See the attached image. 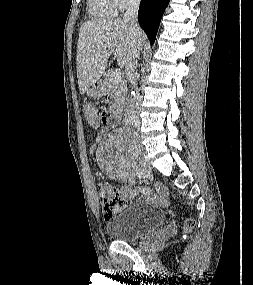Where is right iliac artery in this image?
I'll list each match as a JSON object with an SVG mask.
<instances>
[{"label": "right iliac artery", "instance_id": "obj_1", "mask_svg": "<svg viewBox=\"0 0 253 285\" xmlns=\"http://www.w3.org/2000/svg\"><path fill=\"white\" fill-rule=\"evenodd\" d=\"M127 179H128V182H129L130 185H134V184H135V178H134V176H130V177H128Z\"/></svg>", "mask_w": 253, "mask_h": 285}]
</instances>
